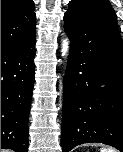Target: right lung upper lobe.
<instances>
[{"mask_svg":"<svg viewBox=\"0 0 123 152\" xmlns=\"http://www.w3.org/2000/svg\"><path fill=\"white\" fill-rule=\"evenodd\" d=\"M36 15L32 0H1V47L35 35Z\"/></svg>","mask_w":123,"mask_h":152,"instance_id":"obj_1","label":"right lung upper lobe"}]
</instances>
